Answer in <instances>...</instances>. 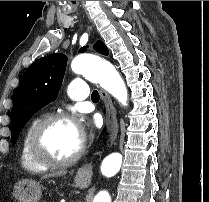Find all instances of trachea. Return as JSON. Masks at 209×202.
<instances>
[{"label":"trachea","instance_id":"trachea-1","mask_svg":"<svg viewBox=\"0 0 209 202\" xmlns=\"http://www.w3.org/2000/svg\"><path fill=\"white\" fill-rule=\"evenodd\" d=\"M91 99L94 103L98 102L100 99L98 91L94 90L91 94Z\"/></svg>","mask_w":209,"mask_h":202}]
</instances>
